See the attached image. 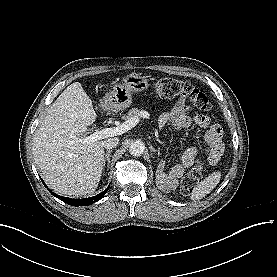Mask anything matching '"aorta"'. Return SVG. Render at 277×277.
<instances>
[{
	"mask_svg": "<svg viewBox=\"0 0 277 277\" xmlns=\"http://www.w3.org/2000/svg\"><path fill=\"white\" fill-rule=\"evenodd\" d=\"M145 150V144L141 140H135L131 142L129 147V153L133 156H141Z\"/></svg>",
	"mask_w": 277,
	"mask_h": 277,
	"instance_id": "762f6f07",
	"label": "aorta"
}]
</instances>
